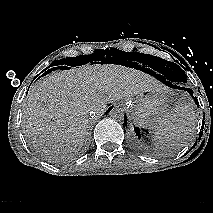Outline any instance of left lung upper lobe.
Instances as JSON below:
<instances>
[{
	"mask_svg": "<svg viewBox=\"0 0 213 213\" xmlns=\"http://www.w3.org/2000/svg\"><path fill=\"white\" fill-rule=\"evenodd\" d=\"M154 63V68L158 71H161L165 75L169 76L170 79L176 84L186 83V74L177 64L166 61L156 56L150 57Z\"/></svg>",
	"mask_w": 213,
	"mask_h": 213,
	"instance_id": "left-lung-upper-lobe-1",
	"label": "left lung upper lobe"
}]
</instances>
